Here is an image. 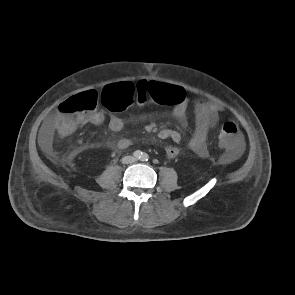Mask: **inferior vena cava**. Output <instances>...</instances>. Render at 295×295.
<instances>
[{
    "label": "inferior vena cava",
    "mask_w": 295,
    "mask_h": 295,
    "mask_svg": "<svg viewBox=\"0 0 295 295\" xmlns=\"http://www.w3.org/2000/svg\"><path fill=\"white\" fill-rule=\"evenodd\" d=\"M136 159L133 156H125L122 158L124 164L133 163Z\"/></svg>",
    "instance_id": "inferior-vena-cava-1"
}]
</instances>
